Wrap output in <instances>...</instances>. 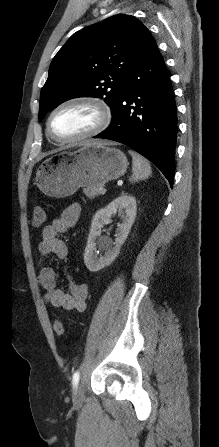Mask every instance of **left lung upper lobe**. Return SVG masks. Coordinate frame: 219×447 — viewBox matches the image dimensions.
<instances>
[{"label":"left lung upper lobe","mask_w":219,"mask_h":447,"mask_svg":"<svg viewBox=\"0 0 219 447\" xmlns=\"http://www.w3.org/2000/svg\"><path fill=\"white\" fill-rule=\"evenodd\" d=\"M152 37L135 17L118 14L74 33L53 58L41 91L39 120L82 96L117 107L127 75Z\"/></svg>","instance_id":"5c2ea615"}]
</instances>
